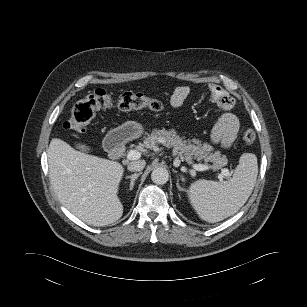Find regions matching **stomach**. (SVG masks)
Wrapping results in <instances>:
<instances>
[{"label": "stomach", "instance_id": "1", "mask_svg": "<svg viewBox=\"0 0 307 307\" xmlns=\"http://www.w3.org/2000/svg\"><path fill=\"white\" fill-rule=\"evenodd\" d=\"M144 132L142 124L136 121H127L113 129L109 135L116 136L120 141H129L140 137Z\"/></svg>", "mask_w": 307, "mask_h": 307}]
</instances>
